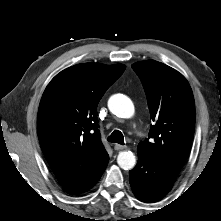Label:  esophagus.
<instances>
[{"label": "esophagus", "instance_id": "34e87169", "mask_svg": "<svg viewBox=\"0 0 221 221\" xmlns=\"http://www.w3.org/2000/svg\"><path fill=\"white\" fill-rule=\"evenodd\" d=\"M126 148H127V146L120 145V144H115V146H114L115 150H123V149H126Z\"/></svg>", "mask_w": 221, "mask_h": 221}]
</instances>
